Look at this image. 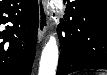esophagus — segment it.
<instances>
[{"instance_id": "esophagus-1", "label": "esophagus", "mask_w": 107, "mask_h": 75, "mask_svg": "<svg viewBox=\"0 0 107 75\" xmlns=\"http://www.w3.org/2000/svg\"><path fill=\"white\" fill-rule=\"evenodd\" d=\"M38 7H39V25L37 39L38 42L40 43L45 38L48 28L47 1L39 0Z\"/></svg>"}]
</instances>
